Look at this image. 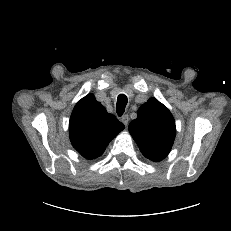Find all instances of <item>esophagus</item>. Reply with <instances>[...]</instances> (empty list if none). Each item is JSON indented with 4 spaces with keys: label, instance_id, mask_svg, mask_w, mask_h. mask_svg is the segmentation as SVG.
Returning a JSON list of instances; mask_svg holds the SVG:
<instances>
[{
    "label": "esophagus",
    "instance_id": "esophagus-1",
    "mask_svg": "<svg viewBox=\"0 0 231 231\" xmlns=\"http://www.w3.org/2000/svg\"><path fill=\"white\" fill-rule=\"evenodd\" d=\"M121 122H122L125 126H127V125H128V122H129V117H128V115L122 116Z\"/></svg>",
    "mask_w": 231,
    "mask_h": 231
}]
</instances>
